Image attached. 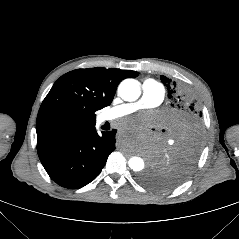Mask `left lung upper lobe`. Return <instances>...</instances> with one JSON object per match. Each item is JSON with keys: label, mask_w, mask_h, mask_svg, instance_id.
Masks as SVG:
<instances>
[{"label": "left lung upper lobe", "mask_w": 239, "mask_h": 239, "mask_svg": "<svg viewBox=\"0 0 239 239\" xmlns=\"http://www.w3.org/2000/svg\"><path fill=\"white\" fill-rule=\"evenodd\" d=\"M169 98V138L141 181L153 189L181 184L193 171L203 145L202 111L185 85L161 75Z\"/></svg>", "instance_id": "obj_1"}]
</instances>
